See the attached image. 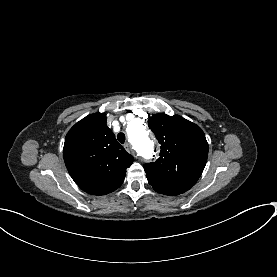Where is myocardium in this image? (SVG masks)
I'll return each mask as SVG.
<instances>
[{
  "instance_id": "f54148a6",
  "label": "myocardium",
  "mask_w": 277,
  "mask_h": 277,
  "mask_svg": "<svg viewBox=\"0 0 277 277\" xmlns=\"http://www.w3.org/2000/svg\"><path fill=\"white\" fill-rule=\"evenodd\" d=\"M126 140H127V143H128V145H129V147H130V149H131V151L136 155V156H139V155H137L136 153H135V151H134V149H133V147L130 145V143H129V139H128V137H127V133H126Z\"/></svg>"
}]
</instances>
